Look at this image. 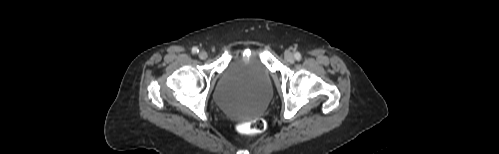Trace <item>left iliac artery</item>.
I'll use <instances>...</instances> for the list:
<instances>
[{
    "label": "left iliac artery",
    "mask_w": 499,
    "mask_h": 154,
    "mask_svg": "<svg viewBox=\"0 0 499 154\" xmlns=\"http://www.w3.org/2000/svg\"><path fill=\"white\" fill-rule=\"evenodd\" d=\"M294 56L296 60H301V54L299 52H296Z\"/></svg>",
    "instance_id": "left-iliac-artery-1"
}]
</instances>
